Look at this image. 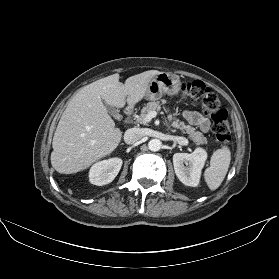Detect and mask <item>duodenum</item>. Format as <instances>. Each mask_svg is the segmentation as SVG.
I'll return each instance as SVG.
<instances>
[{"instance_id": "obj_1", "label": "duodenum", "mask_w": 279, "mask_h": 279, "mask_svg": "<svg viewBox=\"0 0 279 279\" xmlns=\"http://www.w3.org/2000/svg\"><path fill=\"white\" fill-rule=\"evenodd\" d=\"M126 115H129V111H126Z\"/></svg>"}]
</instances>
